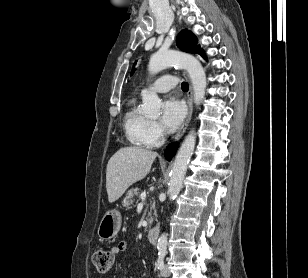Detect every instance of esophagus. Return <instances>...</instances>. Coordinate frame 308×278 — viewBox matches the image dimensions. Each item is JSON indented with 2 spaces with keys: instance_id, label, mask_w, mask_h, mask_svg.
I'll return each instance as SVG.
<instances>
[{
  "instance_id": "34e87169",
  "label": "esophagus",
  "mask_w": 308,
  "mask_h": 278,
  "mask_svg": "<svg viewBox=\"0 0 308 278\" xmlns=\"http://www.w3.org/2000/svg\"><path fill=\"white\" fill-rule=\"evenodd\" d=\"M183 75L185 76V78L187 79L188 83H189V90L187 92V106H188V113H187V117L184 121V123L182 124V126L180 127V129L178 130L177 134L174 137L175 141H178L186 132V129L190 123L191 117H192V112H193V90H192V85H191V81L189 76L187 75L186 72H183Z\"/></svg>"
}]
</instances>
